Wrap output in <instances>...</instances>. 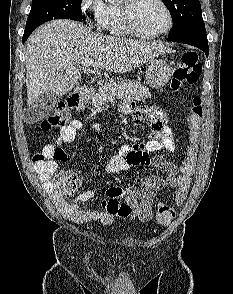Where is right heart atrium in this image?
Wrapping results in <instances>:
<instances>
[{"label": "right heart atrium", "instance_id": "1", "mask_svg": "<svg viewBox=\"0 0 233 294\" xmlns=\"http://www.w3.org/2000/svg\"><path fill=\"white\" fill-rule=\"evenodd\" d=\"M80 10L96 27H102L107 12V5L104 0H80Z\"/></svg>", "mask_w": 233, "mask_h": 294}]
</instances>
